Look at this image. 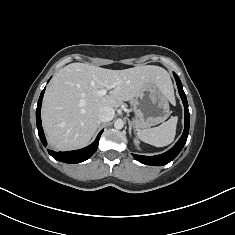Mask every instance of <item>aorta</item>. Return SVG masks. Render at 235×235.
<instances>
[{
	"instance_id": "762f6f07",
	"label": "aorta",
	"mask_w": 235,
	"mask_h": 235,
	"mask_svg": "<svg viewBox=\"0 0 235 235\" xmlns=\"http://www.w3.org/2000/svg\"><path fill=\"white\" fill-rule=\"evenodd\" d=\"M124 126V122L121 119H118L114 123L115 129H122Z\"/></svg>"
}]
</instances>
